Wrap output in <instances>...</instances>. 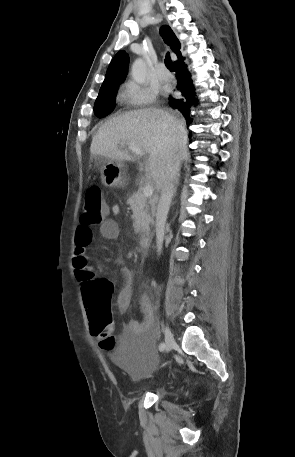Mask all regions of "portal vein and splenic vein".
Instances as JSON below:
<instances>
[{"mask_svg":"<svg viewBox=\"0 0 295 457\" xmlns=\"http://www.w3.org/2000/svg\"><path fill=\"white\" fill-rule=\"evenodd\" d=\"M121 145H124L123 143ZM127 147L129 150H131L135 155H138V156H143L144 155V152L141 148L131 144V143H127ZM153 191H154V188L153 186L150 184V183H147L144 187H143V195L147 198L151 197L153 195Z\"/></svg>","mask_w":295,"mask_h":457,"instance_id":"1","label":"portal vein and splenic vein"}]
</instances>
